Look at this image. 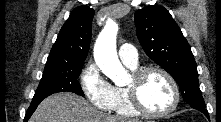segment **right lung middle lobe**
<instances>
[{"label":"right lung middle lobe","instance_id":"obj_1","mask_svg":"<svg viewBox=\"0 0 221 122\" xmlns=\"http://www.w3.org/2000/svg\"><path fill=\"white\" fill-rule=\"evenodd\" d=\"M84 62L80 63H46L40 84L32 102L42 101L47 96L57 92H73L84 96L77 78Z\"/></svg>","mask_w":221,"mask_h":122}]
</instances>
